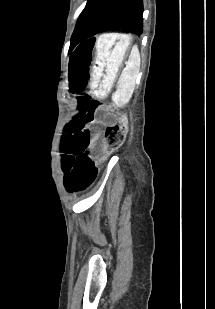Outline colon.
Wrapping results in <instances>:
<instances>
[{
    "instance_id": "obj_1",
    "label": "colon",
    "mask_w": 215,
    "mask_h": 309,
    "mask_svg": "<svg viewBox=\"0 0 215 309\" xmlns=\"http://www.w3.org/2000/svg\"><path fill=\"white\" fill-rule=\"evenodd\" d=\"M128 119L125 113H121L119 120L108 124L104 132V141L107 144L108 151L117 150L122 146L126 138Z\"/></svg>"
}]
</instances>
